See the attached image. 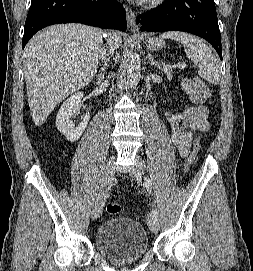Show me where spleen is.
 <instances>
[{"label":"spleen","mask_w":253,"mask_h":271,"mask_svg":"<svg viewBox=\"0 0 253 271\" xmlns=\"http://www.w3.org/2000/svg\"><path fill=\"white\" fill-rule=\"evenodd\" d=\"M162 39H174L183 44L186 55L198 67L200 77L212 84H218L220 71L218 61L212 50L197 37L179 31H167L161 34Z\"/></svg>","instance_id":"3e777b00"}]
</instances>
